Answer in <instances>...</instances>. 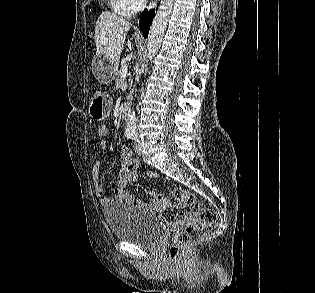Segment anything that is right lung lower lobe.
<instances>
[{
    "label": "right lung lower lobe",
    "mask_w": 315,
    "mask_h": 293,
    "mask_svg": "<svg viewBox=\"0 0 315 293\" xmlns=\"http://www.w3.org/2000/svg\"><path fill=\"white\" fill-rule=\"evenodd\" d=\"M154 17V10L148 11L147 9L144 10L140 17L139 26L141 31L143 32V36L147 38L149 28Z\"/></svg>",
    "instance_id": "98d812e1"
}]
</instances>
